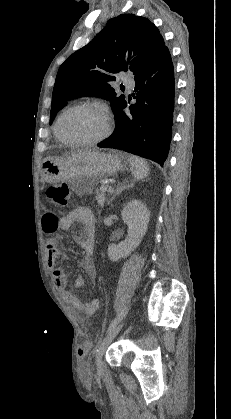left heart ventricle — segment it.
I'll return each mask as SVG.
<instances>
[{
	"instance_id": "b2bd125f",
	"label": "left heart ventricle",
	"mask_w": 231,
	"mask_h": 419,
	"mask_svg": "<svg viewBox=\"0 0 231 419\" xmlns=\"http://www.w3.org/2000/svg\"><path fill=\"white\" fill-rule=\"evenodd\" d=\"M102 113L90 109H77L68 113L61 124L62 132L71 139H91L105 129Z\"/></svg>"
}]
</instances>
